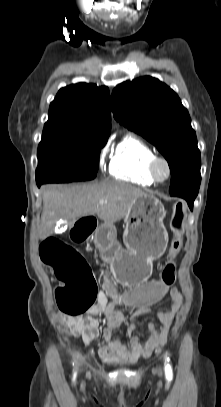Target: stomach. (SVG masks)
Listing matches in <instances>:
<instances>
[{"mask_svg":"<svg viewBox=\"0 0 221 407\" xmlns=\"http://www.w3.org/2000/svg\"><path fill=\"white\" fill-rule=\"evenodd\" d=\"M165 216L164 205L155 196L145 194L134 200L124 219L125 248H110V267L117 282L129 286L149 278L152 261L164 254L168 244ZM101 227L111 226L105 223Z\"/></svg>","mask_w":221,"mask_h":407,"instance_id":"stomach-1","label":"stomach"}]
</instances>
